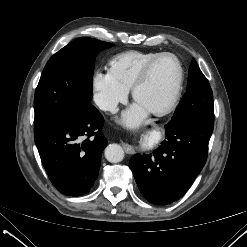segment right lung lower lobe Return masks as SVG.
Here are the masks:
<instances>
[{"mask_svg":"<svg viewBox=\"0 0 247 247\" xmlns=\"http://www.w3.org/2000/svg\"><path fill=\"white\" fill-rule=\"evenodd\" d=\"M103 125L104 118L90 104L34 134L42 164L61 193L81 196L93 187L107 146Z\"/></svg>","mask_w":247,"mask_h":247,"instance_id":"right-lung-lower-lobe-1","label":"right lung lower lobe"}]
</instances>
